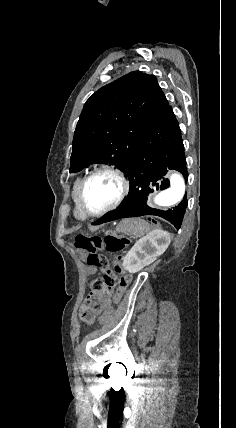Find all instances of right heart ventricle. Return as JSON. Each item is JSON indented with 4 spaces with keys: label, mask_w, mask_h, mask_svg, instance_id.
Instances as JSON below:
<instances>
[{
    "label": "right heart ventricle",
    "mask_w": 236,
    "mask_h": 428,
    "mask_svg": "<svg viewBox=\"0 0 236 428\" xmlns=\"http://www.w3.org/2000/svg\"><path fill=\"white\" fill-rule=\"evenodd\" d=\"M82 179V177H77L71 186V199L74 204V214L79 220H85L88 217L87 214L82 210L78 198L79 185Z\"/></svg>",
    "instance_id": "e07e8e85"
}]
</instances>
